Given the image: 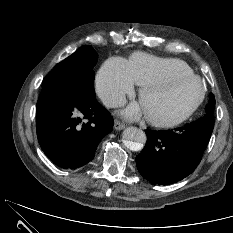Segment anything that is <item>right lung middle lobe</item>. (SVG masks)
<instances>
[{
	"mask_svg": "<svg viewBox=\"0 0 233 233\" xmlns=\"http://www.w3.org/2000/svg\"><path fill=\"white\" fill-rule=\"evenodd\" d=\"M98 60L91 46H82L44 78L42 86H58L94 94L93 67Z\"/></svg>",
	"mask_w": 233,
	"mask_h": 233,
	"instance_id": "dd1d6c3e",
	"label": "right lung middle lobe"
}]
</instances>
